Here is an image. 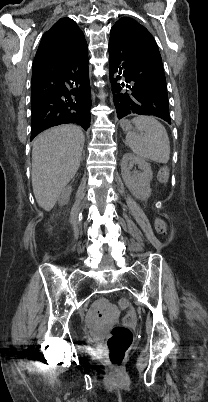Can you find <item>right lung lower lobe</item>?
<instances>
[{
    "label": "right lung lower lobe",
    "mask_w": 208,
    "mask_h": 402,
    "mask_svg": "<svg viewBox=\"0 0 208 402\" xmlns=\"http://www.w3.org/2000/svg\"><path fill=\"white\" fill-rule=\"evenodd\" d=\"M91 103L86 40L61 58L33 63L31 140L60 124L74 123L87 130Z\"/></svg>",
    "instance_id": "right-lung-lower-lobe-1"
}]
</instances>
